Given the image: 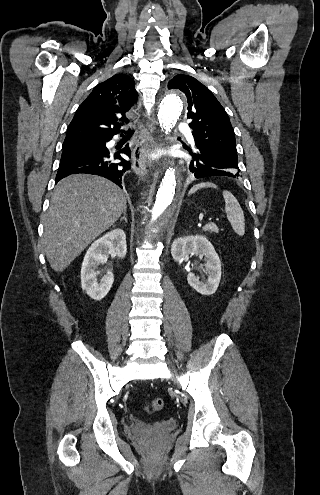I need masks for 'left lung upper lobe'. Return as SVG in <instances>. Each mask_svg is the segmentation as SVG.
Returning <instances> with one entry per match:
<instances>
[{
	"label": "left lung upper lobe",
	"mask_w": 320,
	"mask_h": 495,
	"mask_svg": "<svg viewBox=\"0 0 320 495\" xmlns=\"http://www.w3.org/2000/svg\"><path fill=\"white\" fill-rule=\"evenodd\" d=\"M168 89H179L187 97L189 126L196 144L237 161L235 134L228 114L211 91L192 76L178 74ZM190 153V148H187Z\"/></svg>",
	"instance_id": "1"
}]
</instances>
